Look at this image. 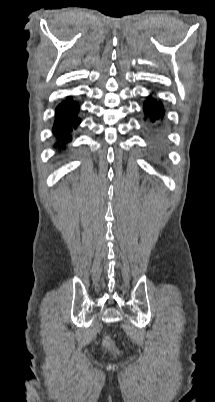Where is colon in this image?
I'll return each instance as SVG.
<instances>
[{
  "instance_id": "colon-1",
  "label": "colon",
  "mask_w": 215,
  "mask_h": 402,
  "mask_svg": "<svg viewBox=\"0 0 215 402\" xmlns=\"http://www.w3.org/2000/svg\"><path fill=\"white\" fill-rule=\"evenodd\" d=\"M103 344L108 350H114L115 349L114 344H113V342H112V340H111V338L109 336H106L104 338Z\"/></svg>"
}]
</instances>
